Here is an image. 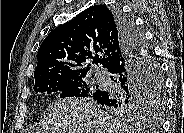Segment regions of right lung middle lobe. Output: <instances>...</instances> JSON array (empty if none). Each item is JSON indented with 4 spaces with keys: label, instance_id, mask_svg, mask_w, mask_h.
<instances>
[{
    "label": "right lung middle lobe",
    "instance_id": "right-lung-middle-lobe-1",
    "mask_svg": "<svg viewBox=\"0 0 184 133\" xmlns=\"http://www.w3.org/2000/svg\"><path fill=\"white\" fill-rule=\"evenodd\" d=\"M131 20L130 18H128ZM138 37L144 39L142 32L134 25ZM145 50L148 55V66L146 73L145 86L138 96L130 97L121 96L116 99L109 107L113 113H133L143 109H156L158 113L163 110L164 104V82L160 66L147 45L145 39ZM34 90L36 93L47 91L61 92L60 97H88L92 94H98L102 90L98 87L89 88L85 82V76L81 77H54L46 78L35 83Z\"/></svg>",
    "mask_w": 184,
    "mask_h": 133
}]
</instances>
